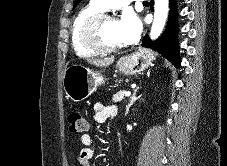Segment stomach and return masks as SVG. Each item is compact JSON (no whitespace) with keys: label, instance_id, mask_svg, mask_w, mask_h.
Returning <instances> with one entry per match:
<instances>
[{"label":"stomach","instance_id":"1","mask_svg":"<svg viewBox=\"0 0 227 166\" xmlns=\"http://www.w3.org/2000/svg\"><path fill=\"white\" fill-rule=\"evenodd\" d=\"M154 58L151 50L140 48L135 53L122 57L117 67L123 74L131 76L147 69ZM104 82L105 79L100 73L80 64L68 66L63 75L65 93L74 102L85 100Z\"/></svg>","mask_w":227,"mask_h":166}]
</instances>
